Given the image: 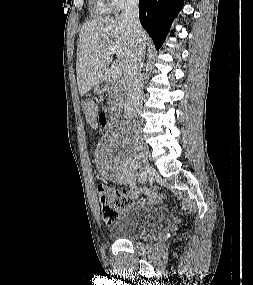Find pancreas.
<instances>
[{"instance_id": "cf45deb5", "label": "pancreas", "mask_w": 253, "mask_h": 285, "mask_svg": "<svg viewBox=\"0 0 253 285\" xmlns=\"http://www.w3.org/2000/svg\"><path fill=\"white\" fill-rule=\"evenodd\" d=\"M106 90L110 108L121 111L126 95V85L123 80L108 78Z\"/></svg>"}]
</instances>
